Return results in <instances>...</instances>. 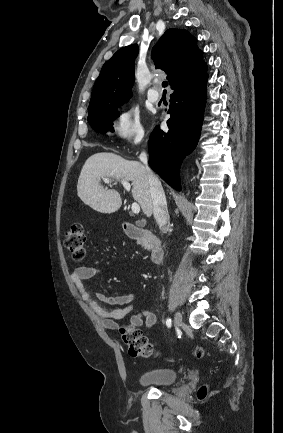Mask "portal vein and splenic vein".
Instances as JSON below:
<instances>
[{"label": "portal vein and splenic vein", "instance_id": "18ae733b", "mask_svg": "<svg viewBox=\"0 0 283 433\" xmlns=\"http://www.w3.org/2000/svg\"><path fill=\"white\" fill-rule=\"evenodd\" d=\"M104 182H110L109 178H103ZM121 184H123L124 188H126V190H130L131 188V184L130 182H128V180H121ZM133 212H135V214H138V212H140V206L139 204H137V202H132V206H131Z\"/></svg>", "mask_w": 283, "mask_h": 433}]
</instances>
